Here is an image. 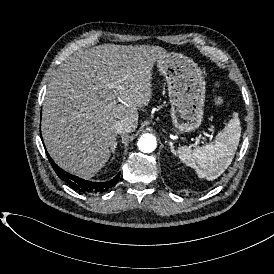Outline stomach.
I'll use <instances>...</instances> for the list:
<instances>
[{
	"instance_id": "obj_1",
	"label": "stomach",
	"mask_w": 274,
	"mask_h": 274,
	"mask_svg": "<svg viewBox=\"0 0 274 274\" xmlns=\"http://www.w3.org/2000/svg\"><path fill=\"white\" fill-rule=\"evenodd\" d=\"M157 67L168 85L173 125L180 133L196 130L204 114L206 82L202 70L180 53L159 58Z\"/></svg>"
}]
</instances>
